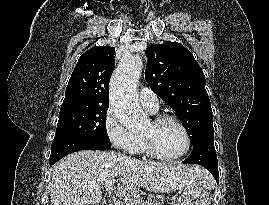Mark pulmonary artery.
I'll list each match as a JSON object with an SVG mask.
<instances>
[{
    "label": "pulmonary artery",
    "mask_w": 269,
    "mask_h": 205,
    "mask_svg": "<svg viewBox=\"0 0 269 205\" xmlns=\"http://www.w3.org/2000/svg\"><path fill=\"white\" fill-rule=\"evenodd\" d=\"M142 106L148 111L154 113L159 108V99L157 95L149 88H142L139 92Z\"/></svg>",
    "instance_id": "obj_1"
}]
</instances>
